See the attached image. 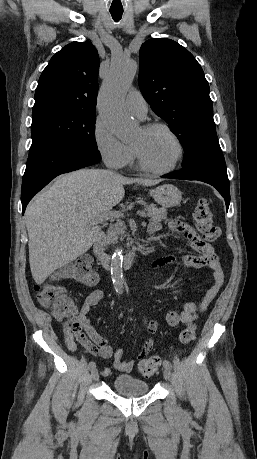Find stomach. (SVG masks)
<instances>
[{
	"mask_svg": "<svg viewBox=\"0 0 257 459\" xmlns=\"http://www.w3.org/2000/svg\"><path fill=\"white\" fill-rule=\"evenodd\" d=\"M150 195L158 204L166 208L178 205L182 199L181 191L171 184H164L150 190Z\"/></svg>",
	"mask_w": 257,
	"mask_h": 459,
	"instance_id": "obj_1",
	"label": "stomach"
}]
</instances>
